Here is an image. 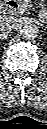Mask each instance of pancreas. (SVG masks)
Returning a JSON list of instances; mask_svg holds the SVG:
<instances>
[{"label": "pancreas", "instance_id": "cf45deb5", "mask_svg": "<svg viewBox=\"0 0 47 129\" xmlns=\"http://www.w3.org/2000/svg\"><path fill=\"white\" fill-rule=\"evenodd\" d=\"M20 3L22 4L23 9L25 10V9H26V7L28 6V2H27V0H20Z\"/></svg>", "mask_w": 47, "mask_h": 129}]
</instances>
